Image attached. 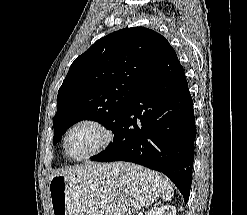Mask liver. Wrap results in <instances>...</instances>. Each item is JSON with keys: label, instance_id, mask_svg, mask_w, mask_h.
<instances>
[{"label": "liver", "instance_id": "1", "mask_svg": "<svg viewBox=\"0 0 247 215\" xmlns=\"http://www.w3.org/2000/svg\"><path fill=\"white\" fill-rule=\"evenodd\" d=\"M93 166H98L100 167L101 164H95V163H86L82 166H76V167H72V168H68L65 169L62 172H57L54 174V176L56 175H66V176H74L76 174H82L83 172H85L87 169L93 167ZM53 177V176H52ZM52 177L50 178V180L52 179Z\"/></svg>", "mask_w": 247, "mask_h": 215}]
</instances>
